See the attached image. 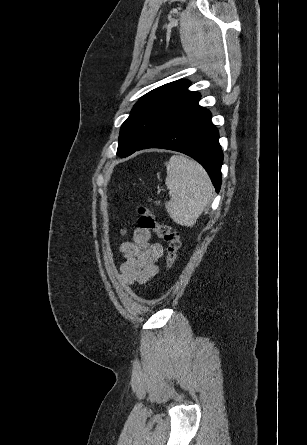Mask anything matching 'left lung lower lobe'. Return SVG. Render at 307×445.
<instances>
[{"label": "left lung lower lobe", "instance_id": "left-lung-lower-lobe-1", "mask_svg": "<svg viewBox=\"0 0 307 445\" xmlns=\"http://www.w3.org/2000/svg\"><path fill=\"white\" fill-rule=\"evenodd\" d=\"M218 139L211 113L197 105L150 136L135 151L162 148L189 155L206 169L216 192H219L223 153Z\"/></svg>", "mask_w": 307, "mask_h": 445}]
</instances>
